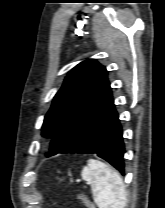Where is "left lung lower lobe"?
<instances>
[{"label": "left lung lower lobe", "mask_w": 165, "mask_h": 208, "mask_svg": "<svg viewBox=\"0 0 165 208\" xmlns=\"http://www.w3.org/2000/svg\"><path fill=\"white\" fill-rule=\"evenodd\" d=\"M111 97L84 123L65 153H94L124 175V142Z\"/></svg>", "instance_id": "1"}]
</instances>
